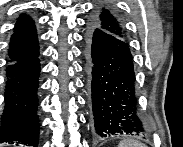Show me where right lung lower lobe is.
Returning a JSON list of instances; mask_svg holds the SVG:
<instances>
[{"label":"right lung lower lobe","instance_id":"1","mask_svg":"<svg viewBox=\"0 0 183 147\" xmlns=\"http://www.w3.org/2000/svg\"><path fill=\"white\" fill-rule=\"evenodd\" d=\"M38 55L39 52L25 60L10 62L6 67L0 142L38 145Z\"/></svg>","mask_w":183,"mask_h":147}]
</instances>
